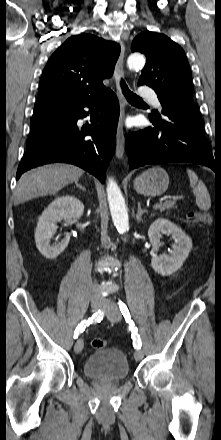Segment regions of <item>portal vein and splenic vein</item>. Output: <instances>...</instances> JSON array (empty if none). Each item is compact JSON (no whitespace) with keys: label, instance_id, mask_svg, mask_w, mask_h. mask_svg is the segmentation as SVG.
<instances>
[{"label":"portal vein and splenic vein","instance_id":"1","mask_svg":"<svg viewBox=\"0 0 221 440\" xmlns=\"http://www.w3.org/2000/svg\"><path fill=\"white\" fill-rule=\"evenodd\" d=\"M159 204H160V203H156V204L153 206V209H157L158 206H159Z\"/></svg>","mask_w":221,"mask_h":440}]
</instances>
